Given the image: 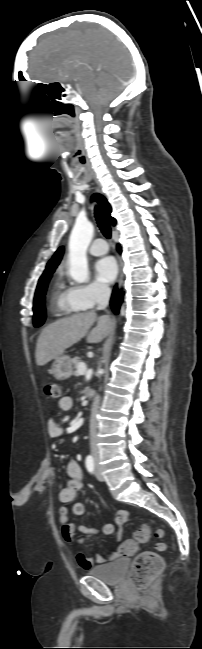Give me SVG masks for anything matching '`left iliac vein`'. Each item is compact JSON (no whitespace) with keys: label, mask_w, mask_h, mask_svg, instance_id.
I'll use <instances>...</instances> for the list:
<instances>
[{"label":"left iliac vein","mask_w":202,"mask_h":649,"mask_svg":"<svg viewBox=\"0 0 202 649\" xmlns=\"http://www.w3.org/2000/svg\"><path fill=\"white\" fill-rule=\"evenodd\" d=\"M95 475H96V478L99 481H103V476L101 474V469H100L99 464L97 462L95 464Z\"/></svg>","instance_id":"obj_1"}]
</instances>
